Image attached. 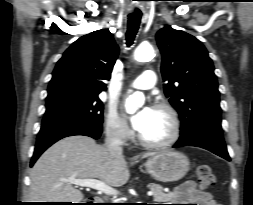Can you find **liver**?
<instances>
[{"label":"liver","mask_w":253,"mask_h":205,"mask_svg":"<svg viewBox=\"0 0 253 205\" xmlns=\"http://www.w3.org/2000/svg\"><path fill=\"white\" fill-rule=\"evenodd\" d=\"M145 153L142 158L153 156ZM30 198L35 202L80 203L84 195L66 179H99L120 187L130 177L124 156L112 154L87 136H70L47 149L31 170Z\"/></svg>","instance_id":"liver-1"}]
</instances>
